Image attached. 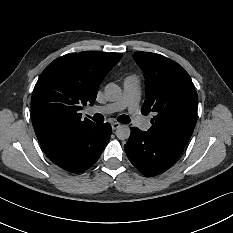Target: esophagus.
<instances>
[{"label":"esophagus","instance_id":"obj_1","mask_svg":"<svg viewBox=\"0 0 233 233\" xmlns=\"http://www.w3.org/2000/svg\"><path fill=\"white\" fill-rule=\"evenodd\" d=\"M121 126V124L119 122H114L111 124V128L112 130H116L117 128H119Z\"/></svg>","mask_w":233,"mask_h":233}]
</instances>
